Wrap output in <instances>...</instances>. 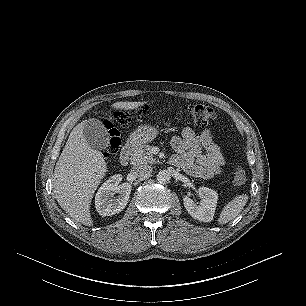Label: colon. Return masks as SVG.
<instances>
[{
	"label": "colon",
	"instance_id": "colon-1",
	"mask_svg": "<svg viewBox=\"0 0 306 306\" xmlns=\"http://www.w3.org/2000/svg\"><path fill=\"white\" fill-rule=\"evenodd\" d=\"M185 111L192 119V121L198 125H209L214 123L217 118V112L210 106L204 104H188L185 106ZM114 117L118 122L126 123L128 121V115L124 112H118L114 114ZM106 128L109 134L108 147L104 153L106 160L110 159L111 156L117 151L120 145V138L117 129L110 122H106ZM233 182L236 186H241L246 182L245 171L238 167L234 173Z\"/></svg>",
	"mask_w": 306,
	"mask_h": 306
}]
</instances>
